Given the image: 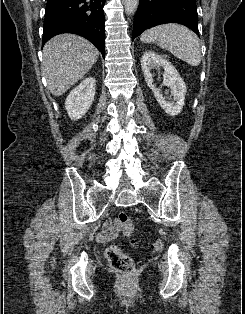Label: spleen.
I'll use <instances>...</instances> for the list:
<instances>
[{
  "label": "spleen",
  "mask_w": 245,
  "mask_h": 314,
  "mask_svg": "<svg viewBox=\"0 0 245 314\" xmlns=\"http://www.w3.org/2000/svg\"><path fill=\"white\" fill-rule=\"evenodd\" d=\"M140 40L157 43L191 66H198L201 62L199 38L182 25L169 23L152 27L141 34Z\"/></svg>",
  "instance_id": "spleen-1"
}]
</instances>
